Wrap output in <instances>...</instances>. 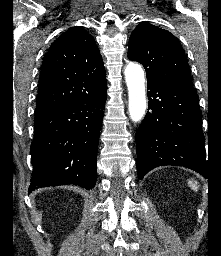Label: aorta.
Wrapping results in <instances>:
<instances>
[{
    "mask_svg": "<svg viewBox=\"0 0 221 256\" xmlns=\"http://www.w3.org/2000/svg\"><path fill=\"white\" fill-rule=\"evenodd\" d=\"M124 74L129 96V115L132 121L139 122L146 111L144 71L139 64L130 63Z\"/></svg>",
    "mask_w": 221,
    "mask_h": 256,
    "instance_id": "aorta-1",
    "label": "aorta"
}]
</instances>
